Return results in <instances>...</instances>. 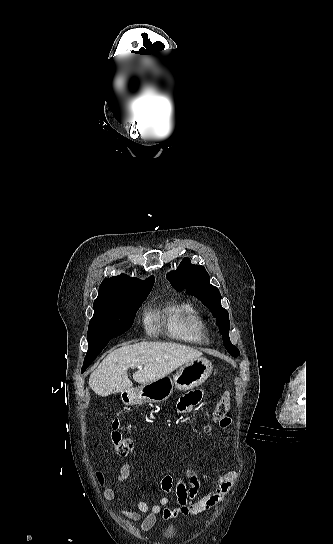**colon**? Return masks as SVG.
I'll return each instance as SVG.
<instances>
[{"label": "colon", "instance_id": "5ec220e1", "mask_svg": "<svg viewBox=\"0 0 333 544\" xmlns=\"http://www.w3.org/2000/svg\"><path fill=\"white\" fill-rule=\"evenodd\" d=\"M231 407V394L229 391L224 392L222 397L216 403L213 413L212 421L220 422L225 418V415ZM111 441L114 445L116 453L120 456L128 455L133 449V442L131 439L123 435L121 431V424L119 419H115L112 423Z\"/></svg>", "mask_w": 333, "mask_h": 544}]
</instances>
